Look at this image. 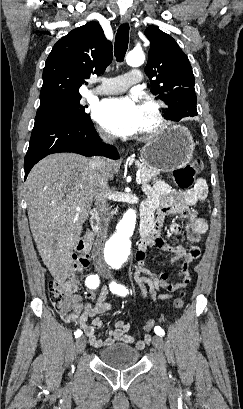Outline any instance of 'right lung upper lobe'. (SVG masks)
I'll return each mask as SVG.
<instances>
[{
  "mask_svg": "<svg viewBox=\"0 0 243 409\" xmlns=\"http://www.w3.org/2000/svg\"><path fill=\"white\" fill-rule=\"evenodd\" d=\"M112 58V44L97 22L72 30L56 42L46 60L40 101L80 95V86L103 73Z\"/></svg>",
  "mask_w": 243,
  "mask_h": 409,
  "instance_id": "right-lung-upper-lobe-1",
  "label": "right lung upper lobe"
}]
</instances>
